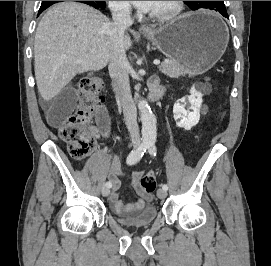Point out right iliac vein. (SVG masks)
Segmentation results:
<instances>
[{
    "label": "right iliac vein",
    "mask_w": 271,
    "mask_h": 266,
    "mask_svg": "<svg viewBox=\"0 0 271 266\" xmlns=\"http://www.w3.org/2000/svg\"><path fill=\"white\" fill-rule=\"evenodd\" d=\"M101 193L104 197L108 196L110 193V188L107 186H103L101 189Z\"/></svg>",
    "instance_id": "obj_1"
}]
</instances>
